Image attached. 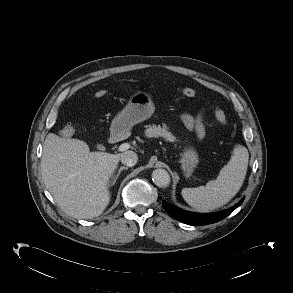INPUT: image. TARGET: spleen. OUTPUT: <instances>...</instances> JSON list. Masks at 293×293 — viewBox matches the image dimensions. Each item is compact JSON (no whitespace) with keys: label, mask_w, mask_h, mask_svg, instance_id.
<instances>
[{"label":"spleen","mask_w":293,"mask_h":293,"mask_svg":"<svg viewBox=\"0 0 293 293\" xmlns=\"http://www.w3.org/2000/svg\"><path fill=\"white\" fill-rule=\"evenodd\" d=\"M248 160L247 148L236 145L230 161L221 169L217 179L209 181L206 186L184 188V200L199 211H209L227 204L242 187Z\"/></svg>","instance_id":"3e777b00"}]
</instances>
